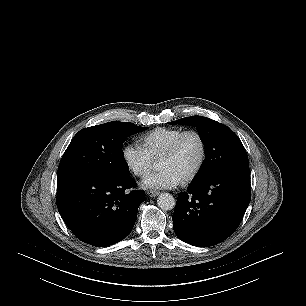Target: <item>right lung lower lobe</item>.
Here are the masks:
<instances>
[{
	"label": "right lung lower lobe",
	"mask_w": 306,
	"mask_h": 306,
	"mask_svg": "<svg viewBox=\"0 0 306 306\" xmlns=\"http://www.w3.org/2000/svg\"><path fill=\"white\" fill-rule=\"evenodd\" d=\"M129 175L86 173L57 183L56 203L67 227L81 241L105 247L123 240L133 229L144 191L128 190Z\"/></svg>",
	"instance_id": "right-lung-lower-lobe-1"
}]
</instances>
